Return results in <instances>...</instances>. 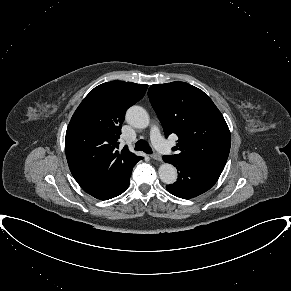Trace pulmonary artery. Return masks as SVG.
Here are the masks:
<instances>
[{
	"mask_svg": "<svg viewBox=\"0 0 291 291\" xmlns=\"http://www.w3.org/2000/svg\"><path fill=\"white\" fill-rule=\"evenodd\" d=\"M151 140L156 149L162 154H171V146L161 136L160 130L157 126H153L151 129Z\"/></svg>",
	"mask_w": 291,
	"mask_h": 291,
	"instance_id": "pulmonary-artery-1",
	"label": "pulmonary artery"
}]
</instances>
